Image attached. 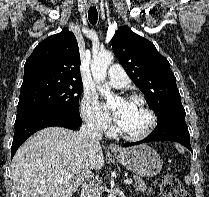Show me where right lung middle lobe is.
Segmentation results:
<instances>
[{
    "label": "right lung middle lobe",
    "instance_id": "1",
    "mask_svg": "<svg viewBox=\"0 0 209 197\" xmlns=\"http://www.w3.org/2000/svg\"><path fill=\"white\" fill-rule=\"evenodd\" d=\"M82 82L35 80L22 84L16 119L29 114L60 110L79 113Z\"/></svg>",
    "mask_w": 209,
    "mask_h": 197
}]
</instances>
